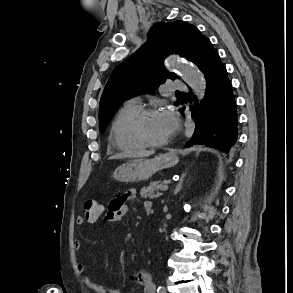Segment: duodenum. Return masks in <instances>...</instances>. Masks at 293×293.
Wrapping results in <instances>:
<instances>
[{
  "label": "duodenum",
  "instance_id": "1",
  "mask_svg": "<svg viewBox=\"0 0 293 293\" xmlns=\"http://www.w3.org/2000/svg\"><path fill=\"white\" fill-rule=\"evenodd\" d=\"M151 212H152V209H151V208H147V209H146V214L149 215V214H151Z\"/></svg>",
  "mask_w": 293,
  "mask_h": 293
}]
</instances>
